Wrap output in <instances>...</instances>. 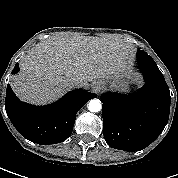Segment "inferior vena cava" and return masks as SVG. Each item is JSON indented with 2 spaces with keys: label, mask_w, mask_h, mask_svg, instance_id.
Returning <instances> with one entry per match:
<instances>
[{
  "label": "inferior vena cava",
  "mask_w": 178,
  "mask_h": 178,
  "mask_svg": "<svg viewBox=\"0 0 178 178\" xmlns=\"http://www.w3.org/2000/svg\"><path fill=\"white\" fill-rule=\"evenodd\" d=\"M70 83L74 87H78L80 85L79 80L77 78H75V77H73V78L70 79Z\"/></svg>",
  "instance_id": "602c4592"
}]
</instances>
